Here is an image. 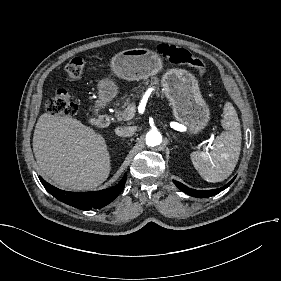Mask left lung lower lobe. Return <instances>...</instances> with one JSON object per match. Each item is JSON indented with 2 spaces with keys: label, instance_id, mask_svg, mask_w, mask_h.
<instances>
[{
  "label": "left lung lower lobe",
  "instance_id": "1",
  "mask_svg": "<svg viewBox=\"0 0 281 281\" xmlns=\"http://www.w3.org/2000/svg\"><path fill=\"white\" fill-rule=\"evenodd\" d=\"M235 179V177L225 186L218 188V189H213V190H194L191 189L187 186H185L184 184L177 182V181H173L174 184L183 192H185L186 194L190 195V196H194V197H210V196H214L218 193H220L222 190L226 189Z\"/></svg>",
  "mask_w": 281,
  "mask_h": 281
}]
</instances>
